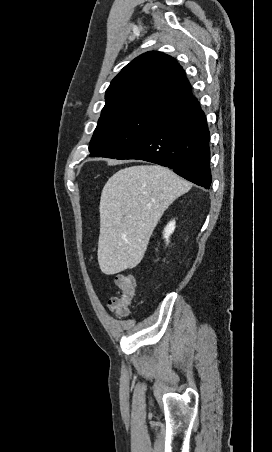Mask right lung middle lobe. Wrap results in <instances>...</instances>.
<instances>
[{"label": "right lung middle lobe", "mask_w": 272, "mask_h": 452, "mask_svg": "<svg viewBox=\"0 0 272 452\" xmlns=\"http://www.w3.org/2000/svg\"><path fill=\"white\" fill-rule=\"evenodd\" d=\"M160 115L149 111H128L100 118L89 145L90 156L118 157L132 146Z\"/></svg>", "instance_id": "dd1d6c3e"}]
</instances>
